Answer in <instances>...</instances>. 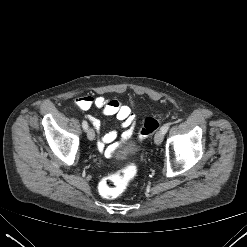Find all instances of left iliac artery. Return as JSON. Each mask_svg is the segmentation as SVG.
<instances>
[{
  "instance_id": "44dca946",
  "label": "left iliac artery",
  "mask_w": 247,
  "mask_h": 247,
  "mask_svg": "<svg viewBox=\"0 0 247 247\" xmlns=\"http://www.w3.org/2000/svg\"><path fill=\"white\" fill-rule=\"evenodd\" d=\"M169 127H170V123H166V124L162 127L161 130H162L163 134H166V132L168 131Z\"/></svg>"
}]
</instances>
